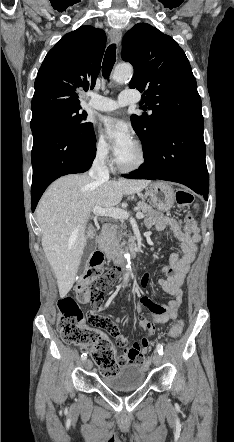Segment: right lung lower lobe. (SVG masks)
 I'll use <instances>...</instances> for the list:
<instances>
[{
    "label": "right lung lower lobe",
    "mask_w": 234,
    "mask_h": 442,
    "mask_svg": "<svg viewBox=\"0 0 234 442\" xmlns=\"http://www.w3.org/2000/svg\"><path fill=\"white\" fill-rule=\"evenodd\" d=\"M31 187L32 211L45 189L57 178L87 171L96 155L95 134L79 138L56 126H41L32 130Z\"/></svg>",
    "instance_id": "right-lung-lower-lobe-1"
}]
</instances>
